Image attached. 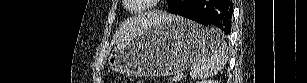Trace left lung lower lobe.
I'll return each mask as SVG.
<instances>
[{
  "label": "left lung lower lobe",
  "mask_w": 307,
  "mask_h": 83,
  "mask_svg": "<svg viewBox=\"0 0 307 83\" xmlns=\"http://www.w3.org/2000/svg\"><path fill=\"white\" fill-rule=\"evenodd\" d=\"M169 13L178 14L202 25H215L231 33L233 4L230 0H172Z\"/></svg>",
  "instance_id": "1"
}]
</instances>
